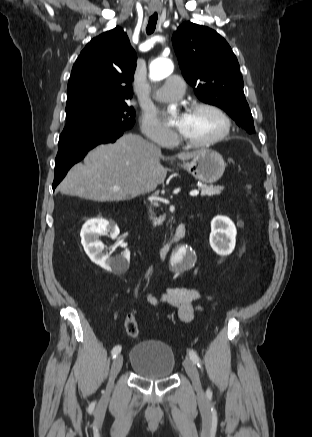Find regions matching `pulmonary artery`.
Listing matches in <instances>:
<instances>
[{
  "label": "pulmonary artery",
  "mask_w": 312,
  "mask_h": 437,
  "mask_svg": "<svg viewBox=\"0 0 312 437\" xmlns=\"http://www.w3.org/2000/svg\"><path fill=\"white\" fill-rule=\"evenodd\" d=\"M185 92V82L179 76L173 75L155 92L154 98L159 101H174L180 99Z\"/></svg>",
  "instance_id": "obj_1"
}]
</instances>
